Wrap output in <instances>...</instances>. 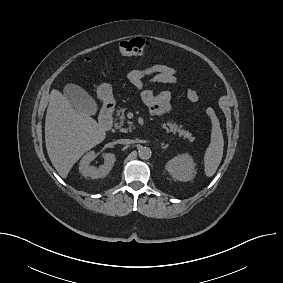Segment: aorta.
I'll return each mask as SVG.
<instances>
[{"label": "aorta", "instance_id": "762f6f07", "mask_svg": "<svg viewBox=\"0 0 283 283\" xmlns=\"http://www.w3.org/2000/svg\"><path fill=\"white\" fill-rule=\"evenodd\" d=\"M138 152L139 157L143 160H147L151 157V149L148 147H141Z\"/></svg>", "mask_w": 283, "mask_h": 283}]
</instances>
